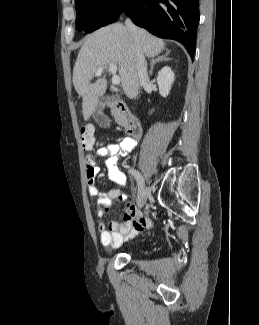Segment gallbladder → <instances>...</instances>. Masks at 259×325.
I'll return each mask as SVG.
<instances>
[{"mask_svg": "<svg viewBox=\"0 0 259 325\" xmlns=\"http://www.w3.org/2000/svg\"><path fill=\"white\" fill-rule=\"evenodd\" d=\"M102 108H103V106H102V104H100L97 111L93 114V118L98 124L106 127L109 125V119L106 115H104L101 112Z\"/></svg>", "mask_w": 259, "mask_h": 325, "instance_id": "gallbladder-1", "label": "gallbladder"}]
</instances>
